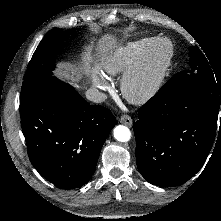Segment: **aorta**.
Here are the masks:
<instances>
[{
	"mask_svg": "<svg viewBox=\"0 0 221 221\" xmlns=\"http://www.w3.org/2000/svg\"><path fill=\"white\" fill-rule=\"evenodd\" d=\"M114 138L119 142H127L131 138V132L128 127L124 125H118L113 131Z\"/></svg>",
	"mask_w": 221,
	"mask_h": 221,
	"instance_id": "obj_1",
	"label": "aorta"
}]
</instances>
